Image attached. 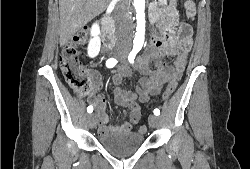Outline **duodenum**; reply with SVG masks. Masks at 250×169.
<instances>
[{"instance_id":"duodenum-1","label":"duodenum","mask_w":250,"mask_h":169,"mask_svg":"<svg viewBox=\"0 0 250 169\" xmlns=\"http://www.w3.org/2000/svg\"><path fill=\"white\" fill-rule=\"evenodd\" d=\"M102 38L106 46L113 48L116 45L114 23L110 15L103 18Z\"/></svg>"}]
</instances>
